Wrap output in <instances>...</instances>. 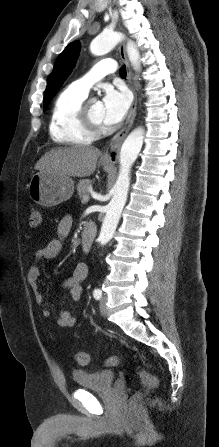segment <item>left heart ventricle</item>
I'll list each match as a JSON object with an SVG mask.
<instances>
[{"label":"left heart ventricle","mask_w":219,"mask_h":447,"mask_svg":"<svg viewBox=\"0 0 219 447\" xmlns=\"http://www.w3.org/2000/svg\"><path fill=\"white\" fill-rule=\"evenodd\" d=\"M90 114L94 121L98 123L103 122V109L100 103H91L89 105Z\"/></svg>","instance_id":"left-heart-ventricle-1"}]
</instances>
